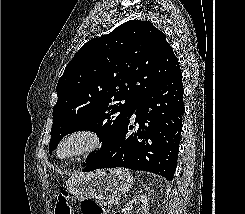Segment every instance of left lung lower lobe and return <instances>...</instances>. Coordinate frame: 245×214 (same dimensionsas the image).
Segmentation results:
<instances>
[{"mask_svg": "<svg viewBox=\"0 0 245 214\" xmlns=\"http://www.w3.org/2000/svg\"><path fill=\"white\" fill-rule=\"evenodd\" d=\"M182 73L179 64L139 102L138 131L128 134L129 119L115 140L94 154L83 172L100 168L124 167L149 171L172 180L176 170L183 105ZM133 115V114H132Z\"/></svg>", "mask_w": 245, "mask_h": 214, "instance_id": "left-lung-lower-lobe-1", "label": "left lung lower lobe"}]
</instances>
